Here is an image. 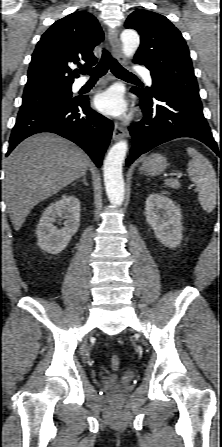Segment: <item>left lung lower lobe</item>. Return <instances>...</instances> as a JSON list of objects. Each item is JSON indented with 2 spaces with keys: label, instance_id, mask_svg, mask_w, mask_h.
Wrapping results in <instances>:
<instances>
[{
  "label": "left lung lower lobe",
  "instance_id": "1",
  "mask_svg": "<svg viewBox=\"0 0 222 447\" xmlns=\"http://www.w3.org/2000/svg\"><path fill=\"white\" fill-rule=\"evenodd\" d=\"M132 92L141 98L144 118L130 126L133 145L126 165L157 145L180 137L198 139L222 157V147L212 136L199 98L165 83H159L151 95L137 88Z\"/></svg>",
  "mask_w": 222,
  "mask_h": 447
}]
</instances>
